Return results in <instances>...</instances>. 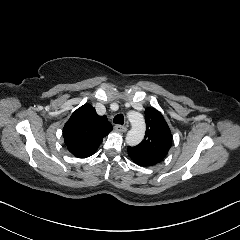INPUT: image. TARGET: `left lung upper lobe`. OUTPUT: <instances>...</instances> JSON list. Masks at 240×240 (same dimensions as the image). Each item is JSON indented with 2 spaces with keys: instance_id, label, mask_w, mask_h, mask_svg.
I'll return each mask as SVG.
<instances>
[{
  "instance_id": "obj_1",
  "label": "left lung upper lobe",
  "mask_w": 240,
  "mask_h": 240,
  "mask_svg": "<svg viewBox=\"0 0 240 240\" xmlns=\"http://www.w3.org/2000/svg\"><path fill=\"white\" fill-rule=\"evenodd\" d=\"M146 133L143 141L128 147V155L138 165L152 166L159 163L171 148L172 136L162 114L146 108Z\"/></svg>"
}]
</instances>
